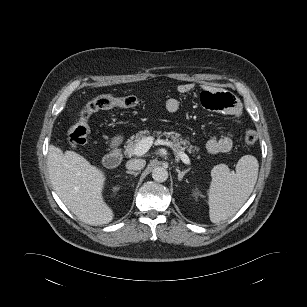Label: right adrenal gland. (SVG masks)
<instances>
[{
  "label": "right adrenal gland",
  "instance_id": "obj_1",
  "mask_svg": "<svg viewBox=\"0 0 307 307\" xmlns=\"http://www.w3.org/2000/svg\"><path fill=\"white\" fill-rule=\"evenodd\" d=\"M127 174L134 175L135 177L140 173V172H134V171H126Z\"/></svg>",
  "mask_w": 307,
  "mask_h": 307
}]
</instances>
